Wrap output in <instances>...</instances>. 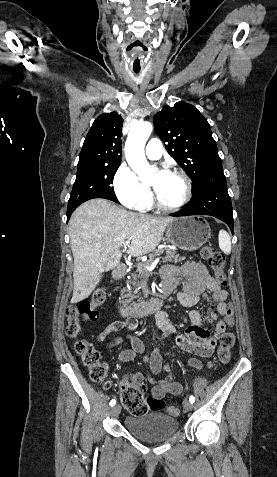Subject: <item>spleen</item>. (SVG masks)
<instances>
[{"label": "spleen", "instance_id": "spleen-1", "mask_svg": "<svg viewBox=\"0 0 277 477\" xmlns=\"http://www.w3.org/2000/svg\"><path fill=\"white\" fill-rule=\"evenodd\" d=\"M219 247L225 254H230L231 252V237L225 230L219 231Z\"/></svg>", "mask_w": 277, "mask_h": 477}]
</instances>
